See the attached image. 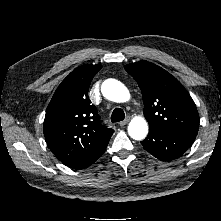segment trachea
I'll return each mask as SVG.
<instances>
[{"instance_id": "3493384b", "label": "trachea", "mask_w": 221, "mask_h": 221, "mask_svg": "<svg viewBox=\"0 0 221 221\" xmlns=\"http://www.w3.org/2000/svg\"><path fill=\"white\" fill-rule=\"evenodd\" d=\"M125 113L121 108H115L111 115V122H119L124 120Z\"/></svg>"}]
</instances>
